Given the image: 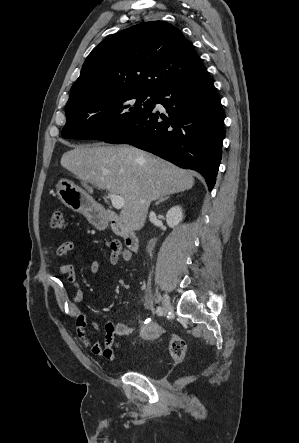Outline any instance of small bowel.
I'll return each mask as SVG.
<instances>
[{
	"label": "small bowel",
	"mask_w": 299,
	"mask_h": 443,
	"mask_svg": "<svg viewBox=\"0 0 299 443\" xmlns=\"http://www.w3.org/2000/svg\"><path fill=\"white\" fill-rule=\"evenodd\" d=\"M74 249V242L65 241L56 248L54 256L55 258L64 257ZM99 269V262L96 260L91 261L89 271L92 274H96L99 272ZM57 274L74 288V292L69 294L63 282H59L53 287L57 306L73 321L79 340L84 346L89 348L94 355L104 357L110 361L116 359L121 348V342L118 338L132 334L133 331L130 326L127 323L108 319L102 328L104 343L93 342L88 333V326L90 324L95 330H100V327L94 322L89 323L84 311L76 306L82 301L83 292L77 281L75 268L70 264H61L57 267ZM145 308L147 310L151 308V300L149 298L145 302Z\"/></svg>",
	"instance_id": "1"
}]
</instances>
